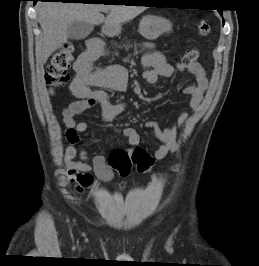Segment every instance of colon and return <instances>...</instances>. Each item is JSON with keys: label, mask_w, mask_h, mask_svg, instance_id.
<instances>
[{"label": "colon", "mask_w": 259, "mask_h": 266, "mask_svg": "<svg viewBox=\"0 0 259 266\" xmlns=\"http://www.w3.org/2000/svg\"><path fill=\"white\" fill-rule=\"evenodd\" d=\"M200 36H207L210 33V25L205 20H199L196 24ZM199 56L197 49L187 51L182 60L188 65L196 62ZM74 59V48L70 44L64 45L54 54L45 74L47 85L51 88L64 86L69 80V69ZM71 141H76L74 130L69 131ZM153 158L145 150L135 148L133 150H116L108 158L109 165L115 169L121 176L130 174L134 167L139 173H148L153 165Z\"/></svg>", "instance_id": "5ec220e1"}]
</instances>
